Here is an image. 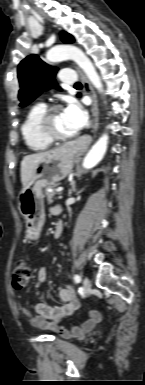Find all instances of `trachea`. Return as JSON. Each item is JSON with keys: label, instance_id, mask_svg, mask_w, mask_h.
<instances>
[{"label": "trachea", "instance_id": "3493384b", "mask_svg": "<svg viewBox=\"0 0 145 385\" xmlns=\"http://www.w3.org/2000/svg\"><path fill=\"white\" fill-rule=\"evenodd\" d=\"M74 86H75V87H82V85H81L80 82H77Z\"/></svg>", "mask_w": 145, "mask_h": 385}]
</instances>
